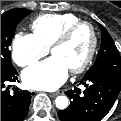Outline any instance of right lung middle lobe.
I'll list each match as a JSON object with an SVG mask.
<instances>
[{
    "label": "right lung middle lobe",
    "mask_w": 121,
    "mask_h": 121,
    "mask_svg": "<svg viewBox=\"0 0 121 121\" xmlns=\"http://www.w3.org/2000/svg\"><path fill=\"white\" fill-rule=\"evenodd\" d=\"M29 13L31 11L28 9L18 8L1 15V68H14L11 63L9 46L17 24Z\"/></svg>",
    "instance_id": "obj_1"
}]
</instances>
